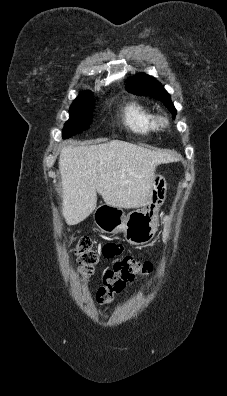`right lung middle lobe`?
Masks as SVG:
<instances>
[{
  "label": "right lung middle lobe",
  "mask_w": 227,
  "mask_h": 396,
  "mask_svg": "<svg viewBox=\"0 0 227 396\" xmlns=\"http://www.w3.org/2000/svg\"><path fill=\"white\" fill-rule=\"evenodd\" d=\"M92 93L82 92L72 103L69 113L70 119L66 122L63 129V138L85 131L91 123L93 100Z\"/></svg>",
  "instance_id": "obj_1"
}]
</instances>
